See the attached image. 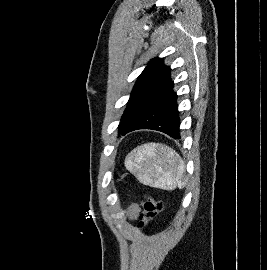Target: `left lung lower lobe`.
Returning a JSON list of instances; mask_svg holds the SVG:
<instances>
[{"instance_id": "0a47b994", "label": "left lung lower lobe", "mask_w": 267, "mask_h": 270, "mask_svg": "<svg viewBox=\"0 0 267 270\" xmlns=\"http://www.w3.org/2000/svg\"><path fill=\"white\" fill-rule=\"evenodd\" d=\"M173 87L174 84L170 81L159 97L123 135L138 129H152L163 132L174 139L181 138L177 95L173 91Z\"/></svg>"}]
</instances>
